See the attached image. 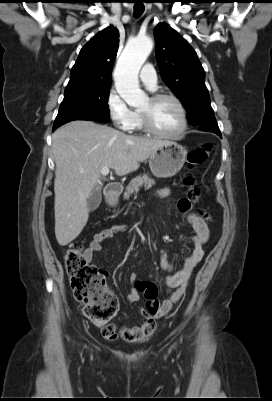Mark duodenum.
Segmentation results:
<instances>
[{"label": "duodenum", "mask_w": 272, "mask_h": 401, "mask_svg": "<svg viewBox=\"0 0 272 401\" xmlns=\"http://www.w3.org/2000/svg\"><path fill=\"white\" fill-rule=\"evenodd\" d=\"M122 192V186L120 184H110L107 186L105 190V195L110 204H113L114 201L119 197Z\"/></svg>", "instance_id": "1"}]
</instances>
